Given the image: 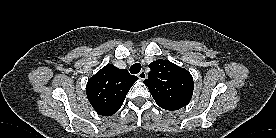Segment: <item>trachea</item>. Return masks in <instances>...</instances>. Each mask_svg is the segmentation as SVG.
Here are the masks:
<instances>
[{"instance_id": "obj_1", "label": "trachea", "mask_w": 276, "mask_h": 138, "mask_svg": "<svg viewBox=\"0 0 276 138\" xmlns=\"http://www.w3.org/2000/svg\"><path fill=\"white\" fill-rule=\"evenodd\" d=\"M141 70V65L140 63H135L130 67V72L131 74H137Z\"/></svg>"}]
</instances>
